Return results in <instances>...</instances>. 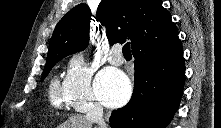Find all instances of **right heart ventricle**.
Masks as SVG:
<instances>
[{"mask_svg": "<svg viewBox=\"0 0 221 128\" xmlns=\"http://www.w3.org/2000/svg\"><path fill=\"white\" fill-rule=\"evenodd\" d=\"M50 101L52 106L59 110H67L71 107V99L67 93L64 84H60L57 78H54L50 84Z\"/></svg>", "mask_w": 221, "mask_h": 128, "instance_id": "e07e8e85", "label": "right heart ventricle"}]
</instances>
